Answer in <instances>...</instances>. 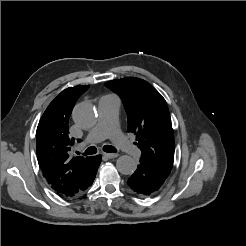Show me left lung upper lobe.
Masks as SVG:
<instances>
[{"label":"left lung upper lobe","instance_id":"1","mask_svg":"<svg viewBox=\"0 0 246 246\" xmlns=\"http://www.w3.org/2000/svg\"><path fill=\"white\" fill-rule=\"evenodd\" d=\"M105 86L117 93L128 116V132L136 135L145 160L170 173L174 161V134L165 99L145 80L128 77L108 81Z\"/></svg>","mask_w":246,"mask_h":246}]
</instances>
